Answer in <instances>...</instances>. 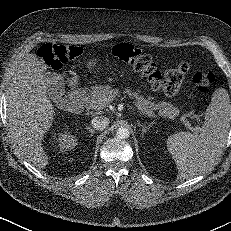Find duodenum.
I'll return each mask as SVG.
<instances>
[{
  "label": "duodenum",
  "instance_id": "1",
  "mask_svg": "<svg viewBox=\"0 0 231 231\" xmlns=\"http://www.w3.org/2000/svg\"><path fill=\"white\" fill-rule=\"evenodd\" d=\"M90 90L88 87L80 86L72 89L62 97L63 107L80 113L84 107V104L89 97Z\"/></svg>",
  "mask_w": 231,
  "mask_h": 231
}]
</instances>
